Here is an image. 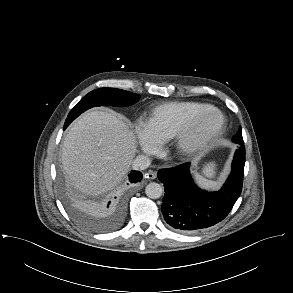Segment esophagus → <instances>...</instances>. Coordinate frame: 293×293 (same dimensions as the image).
I'll list each match as a JSON object with an SVG mask.
<instances>
[{"label":"esophagus","mask_w":293,"mask_h":293,"mask_svg":"<svg viewBox=\"0 0 293 293\" xmlns=\"http://www.w3.org/2000/svg\"><path fill=\"white\" fill-rule=\"evenodd\" d=\"M156 176H157L156 172H153V171H149V172L144 174L145 178H148V179H151V180L155 179Z\"/></svg>","instance_id":"esophagus-1"}]
</instances>
